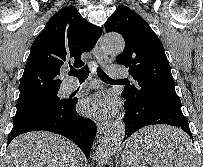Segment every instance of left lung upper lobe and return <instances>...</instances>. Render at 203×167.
<instances>
[{"instance_id": "obj_1", "label": "left lung upper lobe", "mask_w": 203, "mask_h": 167, "mask_svg": "<svg viewBox=\"0 0 203 167\" xmlns=\"http://www.w3.org/2000/svg\"><path fill=\"white\" fill-rule=\"evenodd\" d=\"M105 30L120 33L125 40V49L116 62L129 68L137 82L124 87L122 96L128 102L150 108L181 104L164 47L139 14L121 5L105 23Z\"/></svg>"}]
</instances>
